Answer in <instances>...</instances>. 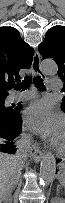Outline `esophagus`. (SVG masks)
Returning a JSON list of instances; mask_svg holds the SVG:
<instances>
[{
	"label": "esophagus",
	"mask_w": 65,
	"mask_h": 203,
	"mask_svg": "<svg viewBox=\"0 0 65 203\" xmlns=\"http://www.w3.org/2000/svg\"><path fill=\"white\" fill-rule=\"evenodd\" d=\"M40 54L38 52L35 53L33 62H32V69L36 75H39L41 78H46L45 74L42 73L40 69ZM30 155L35 162H39L43 157L42 150L35 144L30 150Z\"/></svg>",
	"instance_id": "esophagus-1"
}]
</instances>
